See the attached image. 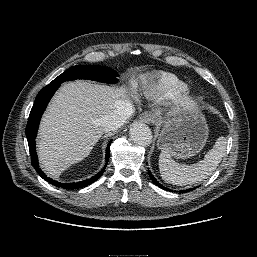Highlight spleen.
I'll use <instances>...</instances> for the list:
<instances>
[{
	"instance_id": "spleen-1",
	"label": "spleen",
	"mask_w": 257,
	"mask_h": 257,
	"mask_svg": "<svg viewBox=\"0 0 257 257\" xmlns=\"http://www.w3.org/2000/svg\"><path fill=\"white\" fill-rule=\"evenodd\" d=\"M227 140L219 137L213 148L207 152L204 160L193 165L176 163L167 150L159 156V171L162 179L175 185H191L206 179L217 168L226 151Z\"/></svg>"
}]
</instances>
